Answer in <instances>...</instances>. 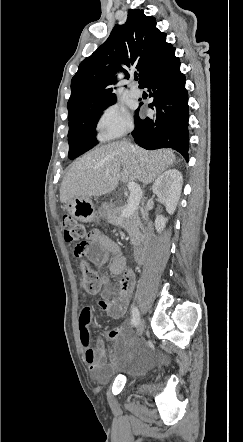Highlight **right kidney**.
<instances>
[{
  "mask_svg": "<svg viewBox=\"0 0 243 442\" xmlns=\"http://www.w3.org/2000/svg\"><path fill=\"white\" fill-rule=\"evenodd\" d=\"M183 177L177 169H171L161 174L152 187L153 193L164 203L167 212L171 215L175 212L182 190ZM168 221L162 215H157L155 228L161 232Z\"/></svg>",
  "mask_w": 243,
  "mask_h": 442,
  "instance_id": "obj_1",
  "label": "right kidney"
}]
</instances>
